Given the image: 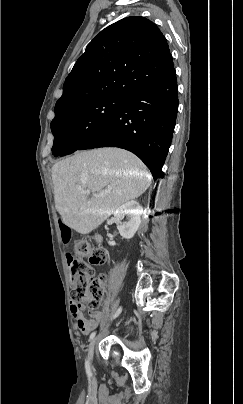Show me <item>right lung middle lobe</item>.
I'll list each match as a JSON object with an SVG mask.
<instances>
[{
    "label": "right lung middle lobe",
    "instance_id": "right-lung-middle-lobe-1",
    "mask_svg": "<svg viewBox=\"0 0 243 404\" xmlns=\"http://www.w3.org/2000/svg\"><path fill=\"white\" fill-rule=\"evenodd\" d=\"M125 98L106 97L73 107L51 122L52 154L65 156L78 150L115 115Z\"/></svg>",
    "mask_w": 243,
    "mask_h": 404
}]
</instances>
